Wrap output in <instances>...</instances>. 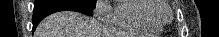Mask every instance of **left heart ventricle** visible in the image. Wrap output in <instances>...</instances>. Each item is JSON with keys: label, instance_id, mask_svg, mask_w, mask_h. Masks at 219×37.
I'll use <instances>...</instances> for the list:
<instances>
[{"label": "left heart ventricle", "instance_id": "obj_1", "mask_svg": "<svg viewBox=\"0 0 219 37\" xmlns=\"http://www.w3.org/2000/svg\"><path fill=\"white\" fill-rule=\"evenodd\" d=\"M157 17L160 20H167L169 18V12L167 9L165 8H161L157 14Z\"/></svg>", "mask_w": 219, "mask_h": 37}]
</instances>
